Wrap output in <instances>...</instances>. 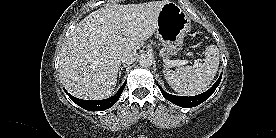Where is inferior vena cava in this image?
<instances>
[{"instance_id":"obj_1","label":"inferior vena cava","mask_w":276,"mask_h":138,"mask_svg":"<svg viewBox=\"0 0 276 138\" xmlns=\"http://www.w3.org/2000/svg\"><path fill=\"white\" fill-rule=\"evenodd\" d=\"M136 57H137L136 51H126L120 55L119 60L121 63H124V64H132L136 60Z\"/></svg>"}]
</instances>
